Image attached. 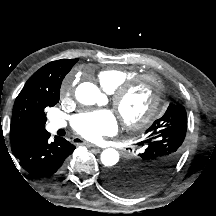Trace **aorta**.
Wrapping results in <instances>:
<instances>
[{
  "instance_id": "aorta-1",
  "label": "aorta",
  "mask_w": 216,
  "mask_h": 216,
  "mask_svg": "<svg viewBox=\"0 0 216 216\" xmlns=\"http://www.w3.org/2000/svg\"><path fill=\"white\" fill-rule=\"evenodd\" d=\"M75 96L78 102L84 105H93L102 97V93L92 83L84 82L78 85L75 91ZM119 153L113 148H107L101 153V163L106 167H112L119 162Z\"/></svg>"
}]
</instances>
